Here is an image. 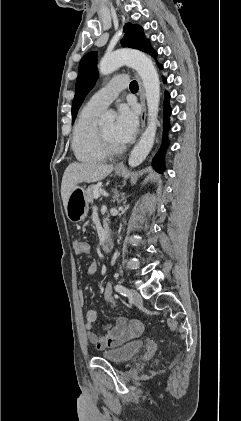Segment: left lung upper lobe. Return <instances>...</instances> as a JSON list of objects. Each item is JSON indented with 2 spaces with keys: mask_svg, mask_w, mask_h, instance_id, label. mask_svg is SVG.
I'll list each match as a JSON object with an SVG mask.
<instances>
[{
  "mask_svg": "<svg viewBox=\"0 0 241 421\" xmlns=\"http://www.w3.org/2000/svg\"><path fill=\"white\" fill-rule=\"evenodd\" d=\"M125 36L121 41L123 47L143 50L149 42L143 33L142 27L127 23L124 26ZM97 52L86 54L80 61L78 77L76 80L75 96L72 103V123L78 109L88 92L93 88L97 79Z\"/></svg>",
  "mask_w": 241,
  "mask_h": 421,
  "instance_id": "5c2ea615",
  "label": "left lung upper lobe"
}]
</instances>
